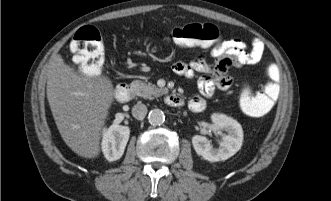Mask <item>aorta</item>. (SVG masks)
<instances>
[{"label":"aorta","mask_w":331,"mask_h":201,"mask_svg":"<svg viewBox=\"0 0 331 201\" xmlns=\"http://www.w3.org/2000/svg\"><path fill=\"white\" fill-rule=\"evenodd\" d=\"M148 120L151 125H161L165 121L164 112L160 109H152L148 114Z\"/></svg>","instance_id":"obj_1"}]
</instances>
